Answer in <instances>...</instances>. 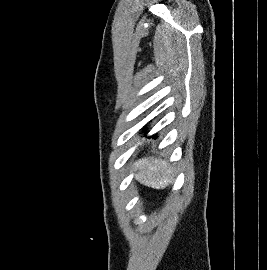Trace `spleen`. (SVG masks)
Returning <instances> with one entry per match:
<instances>
[{"mask_svg":"<svg viewBox=\"0 0 267 270\" xmlns=\"http://www.w3.org/2000/svg\"><path fill=\"white\" fill-rule=\"evenodd\" d=\"M134 170L135 179L148 187L164 189L171 182V167L166 161L154 157L139 159L134 164Z\"/></svg>","mask_w":267,"mask_h":270,"instance_id":"1","label":"spleen"}]
</instances>
